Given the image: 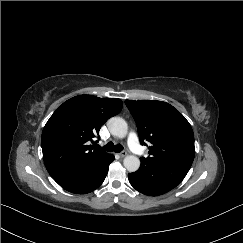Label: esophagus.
<instances>
[{"mask_svg": "<svg viewBox=\"0 0 243 243\" xmlns=\"http://www.w3.org/2000/svg\"><path fill=\"white\" fill-rule=\"evenodd\" d=\"M126 155H127V152L126 151H122V152L119 153V156L121 158H124Z\"/></svg>", "mask_w": 243, "mask_h": 243, "instance_id": "esophagus-1", "label": "esophagus"}]
</instances>
